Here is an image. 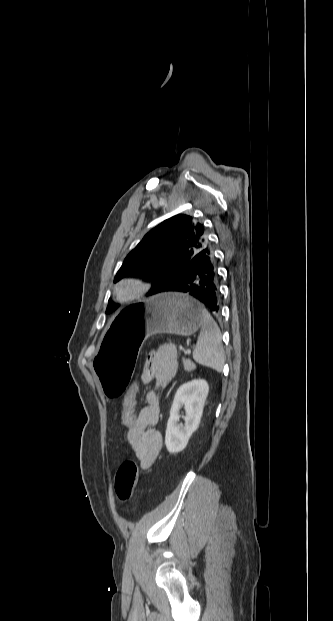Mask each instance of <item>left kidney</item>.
Instances as JSON below:
<instances>
[{"label": "left kidney", "instance_id": "left-kidney-1", "mask_svg": "<svg viewBox=\"0 0 333 621\" xmlns=\"http://www.w3.org/2000/svg\"><path fill=\"white\" fill-rule=\"evenodd\" d=\"M209 391L205 380H192L181 385L174 397L167 423L165 445L174 454L182 451L199 426ZM185 411V425H179L180 409Z\"/></svg>", "mask_w": 333, "mask_h": 621}]
</instances>
